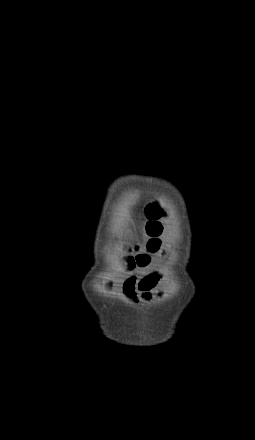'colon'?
Instances as JSON below:
<instances>
[{"label":"colon","mask_w":255,"mask_h":440,"mask_svg":"<svg viewBox=\"0 0 255 440\" xmlns=\"http://www.w3.org/2000/svg\"><path fill=\"white\" fill-rule=\"evenodd\" d=\"M167 218V211L160 204L153 202L146 207V234L148 240L145 245L147 253H155L159 250V236L163 233L162 220ZM148 261L147 254H139L136 262L140 265L146 264Z\"/></svg>","instance_id":"1"}]
</instances>
